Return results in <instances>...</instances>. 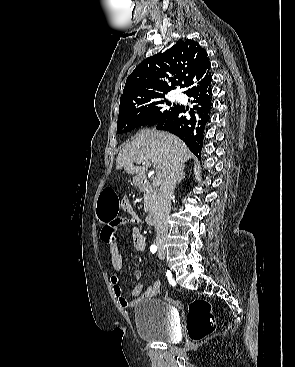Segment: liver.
<instances>
[{
  "mask_svg": "<svg viewBox=\"0 0 295 367\" xmlns=\"http://www.w3.org/2000/svg\"><path fill=\"white\" fill-rule=\"evenodd\" d=\"M191 156L188 147L176 136L143 129L120 151L116 159V168L141 178L150 167V162L154 160L157 176L163 180L174 163L183 167ZM134 163L142 166H135Z\"/></svg>",
  "mask_w": 295,
  "mask_h": 367,
  "instance_id": "1",
  "label": "liver"
}]
</instances>
